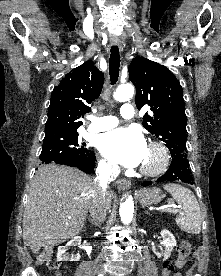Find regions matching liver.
Masks as SVG:
<instances>
[{"instance_id":"6515ba94","label":"liver","mask_w":221,"mask_h":276,"mask_svg":"<svg viewBox=\"0 0 221 276\" xmlns=\"http://www.w3.org/2000/svg\"><path fill=\"white\" fill-rule=\"evenodd\" d=\"M96 183L78 169L55 164L38 168L30 183L23 216V240L34 254L78 235ZM108 207L112 194L106 192Z\"/></svg>"}]
</instances>
